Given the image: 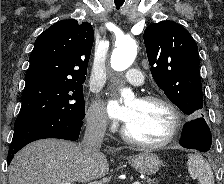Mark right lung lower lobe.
Segmentation results:
<instances>
[{
	"instance_id": "right-lung-lower-lobe-1",
	"label": "right lung lower lobe",
	"mask_w": 224,
	"mask_h": 184,
	"mask_svg": "<svg viewBox=\"0 0 224 184\" xmlns=\"http://www.w3.org/2000/svg\"><path fill=\"white\" fill-rule=\"evenodd\" d=\"M83 121L48 118L27 123L14 130L8 151L7 163L10 164L14 154L28 143L45 138H59L76 141L79 138Z\"/></svg>"
}]
</instances>
